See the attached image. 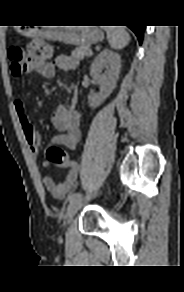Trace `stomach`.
<instances>
[{
    "instance_id": "0dacf381",
    "label": "stomach",
    "mask_w": 184,
    "mask_h": 292,
    "mask_svg": "<svg viewBox=\"0 0 184 292\" xmlns=\"http://www.w3.org/2000/svg\"><path fill=\"white\" fill-rule=\"evenodd\" d=\"M26 36L39 35V31L32 29H20ZM44 37L54 41H60L72 45H90L103 39V33L97 27H60L44 32Z\"/></svg>"
}]
</instances>
